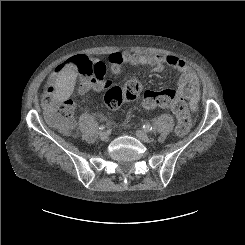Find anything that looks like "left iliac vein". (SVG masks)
Here are the masks:
<instances>
[{"label":"left iliac vein","mask_w":245,"mask_h":245,"mask_svg":"<svg viewBox=\"0 0 245 245\" xmlns=\"http://www.w3.org/2000/svg\"><path fill=\"white\" fill-rule=\"evenodd\" d=\"M135 135L139 140H141L143 142H149V140H150L149 136L142 130H137L135 132Z\"/></svg>","instance_id":"left-iliac-vein-1"}]
</instances>
